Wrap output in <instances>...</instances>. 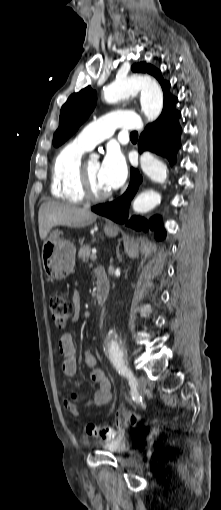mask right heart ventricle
<instances>
[{"instance_id": "obj_1", "label": "right heart ventricle", "mask_w": 221, "mask_h": 510, "mask_svg": "<svg viewBox=\"0 0 221 510\" xmlns=\"http://www.w3.org/2000/svg\"><path fill=\"white\" fill-rule=\"evenodd\" d=\"M87 148L75 140L66 144L56 155L51 172V194L74 204L84 202L79 187L81 159Z\"/></svg>"}]
</instances>
